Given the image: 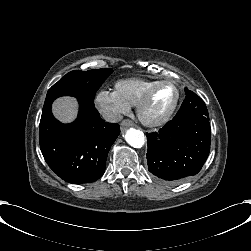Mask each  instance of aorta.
Listing matches in <instances>:
<instances>
[{"label": "aorta", "instance_id": "aorta-1", "mask_svg": "<svg viewBox=\"0 0 251 251\" xmlns=\"http://www.w3.org/2000/svg\"><path fill=\"white\" fill-rule=\"evenodd\" d=\"M125 140L134 148H141L145 143L143 132L134 128L127 130Z\"/></svg>", "mask_w": 251, "mask_h": 251}]
</instances>
